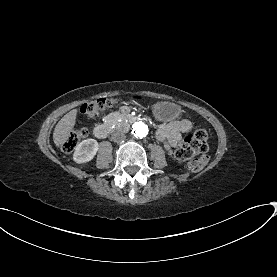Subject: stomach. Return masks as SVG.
Instances as JSON below:
<instances>
[{
	"label": "stomach",
	"instance_id": "0dacf381",
	"mask_svg": "<svg viewBox=\"0 0 277 277\" xmlns=\"http://www.w3.org/2000/svg\"><path fill=\"white\" fill-rule=\"evenodd\" d=\"M153 113L162 121H173L178 118L181 109L173 103L159 102L153 106Z\"/></svg>",
	"mask_w": 277,
	"mask_h": 277
}]
</instances>
